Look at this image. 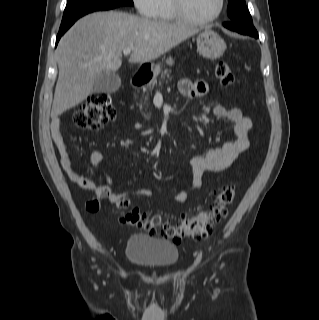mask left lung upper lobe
Listing matches in <instances>:
<instances>
[{"mask_svg":"<svg viewBox=\"0 0 319 320\" xmlns=\"http://www.w3.org/2000/svg\"><path fill=\"white\" fill-rule=\"evenodd\" d=\"M227 14L232 23L254 27L251 15L245 4V0H228Z\"/></svg>","mask_w":319,"mask_h":320,"instance_id":"1","label":"left lung upper lobe"}]
</instances>
